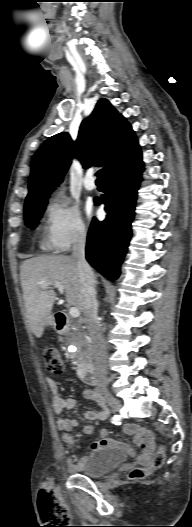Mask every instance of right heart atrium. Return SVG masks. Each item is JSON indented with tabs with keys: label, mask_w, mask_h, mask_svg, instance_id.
Instances as JSON below:
<instances>
[{
	"label": "right heart atrium",
	"mask_w": 192,
	"mask_h": 527,
	"mask_svg": "<svg viewBox=\"0 0 192 527\" xmlns=\"http://www.w3.org/2000/svg\"><path fill=\"white\" fill-rule=\"evenodd\" d=\"M44 216L47 245L54 251H65L86 235V225L78 210L62 201H51Z\"/></svg>",
	"instance_id": "d8ad5b80"
}]
</instances>
